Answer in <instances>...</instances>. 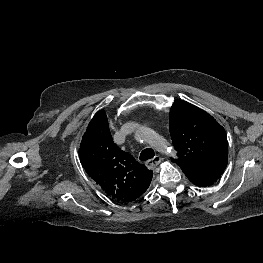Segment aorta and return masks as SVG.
I'll use <instances>...</instances> for the list:
<instances>
[{"label":"aorta","mask_w":263,"mask_h":263,"mask_svg":"<svg viewBox=\"0 0 263 263\" xmlns=\"http://www.w3.org/2000/svg\"><path fill=\"white\" fill-rule=\"evenodd\" d=\"M136 135L138 137L143 138L144 140L150 141L151 143L158 144L159 142H162V139L157 137L154 132L147 128V127H141L137 130Z\"/></svg>","instance_id":"762f6f07"}]
</instances>
